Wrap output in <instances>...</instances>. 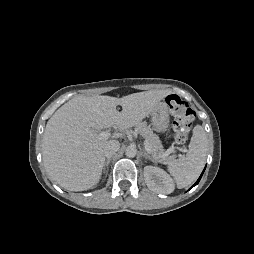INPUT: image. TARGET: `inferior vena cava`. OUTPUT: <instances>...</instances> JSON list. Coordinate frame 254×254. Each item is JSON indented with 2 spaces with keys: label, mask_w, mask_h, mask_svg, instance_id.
I'll return each mask as SVG.
<instances>
[{
  "label": "inferior vena cava",
  "mask_w": 254,
  "mask_h": 254,
  "mask_svg": "<svg viewBox=\"0 0 254 254\" xmlns=\"http://www.w3.org/2000/svg\"><path fill=\"white\" fill-rule=\"evenodd\" d=\"M120 148V143L116 140L109 141L104 148V156L111 158Z\"/></svg>",
  "instance_id": "1"
}]
</instances>
